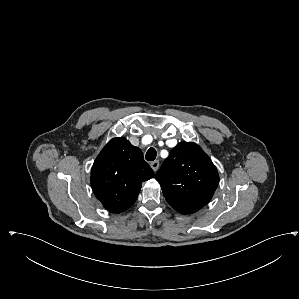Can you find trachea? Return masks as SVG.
Wrapping results in <instances>:
<instances>
[{"mask_svg": "<svg viewBox=\"0 0 299 299\" xmlns=\"http://www.w3.org/2000/svg\"><path fill=\"white\" fill-rule=\"evenodd\" d=\"M156 156H157L156 150L153 147H151L148 149L145 158L147 161H154L156 159Z\"/></svg>", "mask_w": 299, "mask_h": 299, "instance_id": "1", "label": "trachea"}]
</instances>
